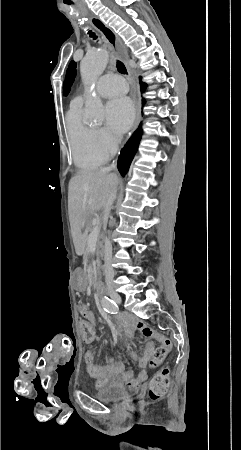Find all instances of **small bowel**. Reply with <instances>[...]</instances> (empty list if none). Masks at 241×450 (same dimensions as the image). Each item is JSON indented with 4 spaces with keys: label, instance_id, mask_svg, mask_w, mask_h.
Segmentation results:
<instances>
[{
    "label": "small bowel",
    "instance_id": "c3829d8e",
    "mask_svg": "<svg viewBox=\"0 0 241 450\" xmlns=\"http://www.w3.org/2000/svg\"><path fill=\"white\" fill-rule=\"evenodd\" d=\"M81 314L84 317L82 324H94L95 317L92 311L87 307L83 306L81 308ZM82 332V331H81ZM136 332H141L145 336L154 337L160 343L162 341L169 340L163 335L154 332L150 327H148L143 321L136 320L132 324H126L121 331V336L132 338ZM150 334V335H148ZM89 355L94 353L92 348L87 350ZM155 347L152 341L147 343V347L142 355L138 358L136 353L132 350L129 351V355L132 360L137 361L139 367V373L135 376L132 370H126L125 364L122 361H115L110 358H104V364L98 365L95 362V356H84L87 372L93 377L99 385L106 384H118L124 385L131 389L138 388L142 383H144L149 376L148 365L154 357Z\"/></svg>",
    "mask_w": 241,
    "mask_h": 450
}]
</instances>
